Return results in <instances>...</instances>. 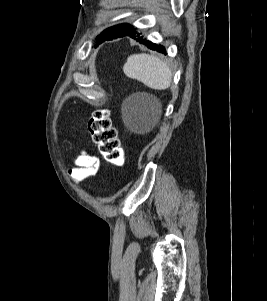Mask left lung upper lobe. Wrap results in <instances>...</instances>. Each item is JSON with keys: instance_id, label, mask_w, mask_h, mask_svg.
Returning a JSON list of instances; mask_svg holds the SVG:
<instances>
[{"instance_id": "obj_1", "label": "left lung upper lobe", "mask_w": 267, "mask_h": 301, "mask_svg": "<svg viewBox=\"0 0 267 301\" xmlns=\"http://www.w3.org/2000/svg\"><path fill=\"white\" fill-rule=\"evenodd\" d=\"M133 26L128 24H119L113 27H110L104 30L100 35L96 38V46L102 43L106 38H109L111 35H117L122 33H127L128 31L132 30Z\"/></svg>"}]
</instances>
